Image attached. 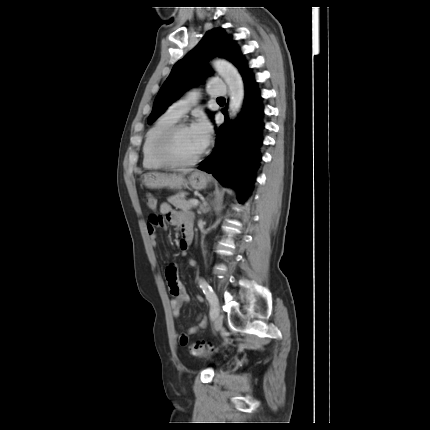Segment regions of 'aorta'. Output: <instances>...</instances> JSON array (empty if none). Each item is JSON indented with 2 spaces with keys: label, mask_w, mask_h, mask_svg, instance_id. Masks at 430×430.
<instances>
[{
  "label": "aorta",
  "mask_w": 430,
  "mask_h": 430,
  "mask_svg": "<svg viewBox=\"0 0 430 430\" xmlns=\"http://www.w3.org/2000/svg\"><path fill=\"white\" fill-rule=\"evenodd\" d=\"M213 68L224 79L228 86V113L229 117L234 119L241 110L245 96L242 77L234 65L222 58H215L213 60Z\"/></svg>",
  "instance_id": "1"
}]
</instances>
